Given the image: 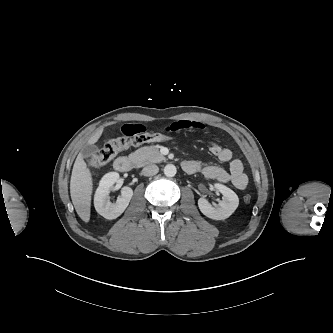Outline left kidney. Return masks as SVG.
Returning <instances> with one entry per match:
<instances>
[{"label":"left kidney","mask_w":333,"mask_h":333,"mask_svg":"<svg viewBox=\"0 0 333 333\" xmlns=\"http://www.w3.org/2000/svg\"><path fill=\"white\" fill-rule=\"evenodd\" d=\"M214 186L222 193V201L217 206H213L205 198L201 197L198 200V207L206 217L213 220H224L237 209L239 198L233 190L222 184L217 183Z\"/></svg>","instance_id":"5707ae66"}]
</instances>
